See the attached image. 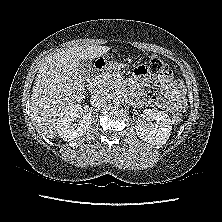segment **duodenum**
I'll return each mask as SVG.
<instances>
[{
  "instance_id": "duodenum-1",
  "label": "duodenum",
  "mask_w": 222,
  "mask_h": 222,
  "mask_svg": "<svg viewBox=\"0 0 222 222\" xmlns=\"http://www.w3.org/2000/svg\"><path fill=\"white\" fill-rule=\"evenodd\" d=\"M104 65V63H99L97 62L96 67L98 68V73L90 80L89 84H88V89L91 93H95L100 77H101V72L99 71L102 66Z\"/></svg>"
}]
</instances>
